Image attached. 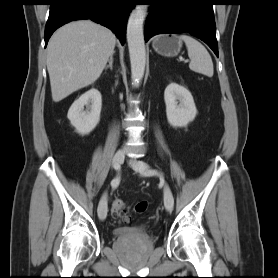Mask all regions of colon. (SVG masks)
I'll list each match as a JSON object with an SVG mask.
<instances>
[{
    "label": "colon",
    "mask_w": 278,
    "mask_h": 278,
    "mask_svg": "<svg viewBox=\"0 0 278 278\" xmlns=\"http://www.w3.org/2000/svg\"><path fill=\"white\" fill-rule=\"evenodd\" d=\"M146 206V202H139L135 206V210L137 212H143L146 209ZM112 214L125 222H129L131 220V215L126 208L125 203L118 198H115L112 201Z\"/></svg>",
    "instance_id": "5ec220e1"
}]
</instances>
